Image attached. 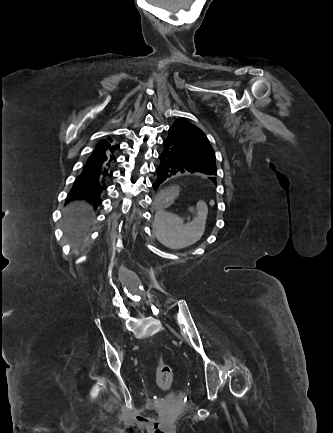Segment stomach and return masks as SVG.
Masks as SVG:
<instances>
[{
    "mask_svg": "<svg viewBox=\"0 0 333 433\" xmlns=\"http://www.w3.org/2000/svg\"><path fill=\"white\" fill-rule=\"evenodd\" d=\"M180 193L178 188L174 186H164L163 190H160L158 201H155V210H168L169 203L173 202V199H179Z\"/></svg>",
    "mask_w": 333,
    "mask_h": 433,
    "instance_id": "1",
    "label": "stomach"
}]
</instances>
